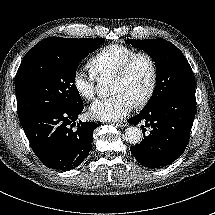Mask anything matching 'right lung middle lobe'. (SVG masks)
I'll list each match as a JSON object with an SVG mask.
<instances>
[{"label":"right lung middle lobe","instance_id":"obj_1","mask_svg":"<svg viewBox=\"0 0 215 215\" xmlns=\"http://www.w3.org/2000/svg\"><path fill=\"white\" fill-rule=\"evenodd\" d=\"M104 42L102 38H46L23 58L15 77L19 119L48 106L83 104L75 86L79 62Z\"/></svg>","mask_w":215,"mask_h":215}]
</instances>
